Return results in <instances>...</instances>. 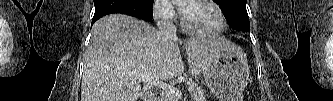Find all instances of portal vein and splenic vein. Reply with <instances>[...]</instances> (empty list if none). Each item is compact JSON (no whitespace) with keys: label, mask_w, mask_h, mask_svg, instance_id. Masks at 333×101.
<instances>
[{"label":"portal vein and splenic vein","mask_w":333,"mask_h":101,"mask_svg":"<svg viewBox=\"0 0 333 101\" xmlns=\"http://www.w3.org/2000/svg\"><path fill=\"white\" fill-rule=\"evenodd\" d=\"M135 77L139 81H143V82L148 83L150 85H155L157 87H160V88L166 90L169 94H171L173 96H176L178 98H181V96H182V93L178 89H176L175 87H172L170 85H167V84L163 83L158 78H155V77H152V76H149V75H137ZM193 89H194L193 86L187 88V90L189 92H192Z\"/></svg>","instance_id":"obj_1"}]
</instances>
